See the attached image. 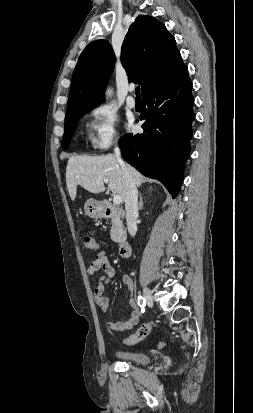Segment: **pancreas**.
Listing matches in <instances>:
<instances>
[{
  "label": "pancreas",
  "instance_id": "obj_1",
  "mask_svg": "<svg viewBox=\"0 0 253 413\" xmlns=\"http://www.w3.org/2000/svg\"><path fill=\"white\" fill-rule=\"evenodd\" d=\"M125 235V230L123 227V223L118 216H115L112 219V226L110 230L111 239L114 242H121L123 240V236Z\"/></svg>",
  "mask_w": 253,
  "mask_h": 413
}]
</instances>
